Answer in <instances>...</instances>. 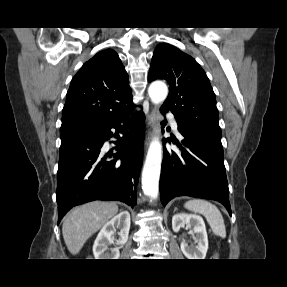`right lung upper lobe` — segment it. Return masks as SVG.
I'll return each mask as SVG.
<instances>
[{
    "instance_id": "1",
    "label": "right lung upper lobe",
    "mask_w": 287,
    "mask_h": 287,
    "mask_svg": "<svg viewBox=\"0 0 287 287\" xmlns=\"http://www.w3.org/2000/svg\"><path fill=\"white\" fill-rule=\"evenodd\" d=\"M134 106L126 70L111 49L97 53L72 79L62 126L94 125Z\"/></svg>"
}]
</instances>
